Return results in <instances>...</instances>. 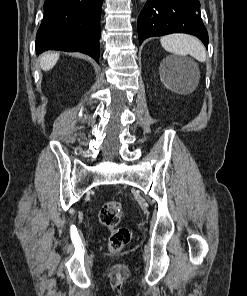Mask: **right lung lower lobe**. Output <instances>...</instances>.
Instances as JSON below:
<instances>
[{
  "mask_svg": "<svg viewBox=\"0 0 247 296\" xmlns=\"http://www.w3.org/2000/svg\"><path fill=\"white\" fill-rule=\"evenodd\" d=\"M102 0H45L35 48L82 52L98 62Z\"/></svg>",
  "mask_w": 247,
  "mask_h": 296,
  "instance_id": "right-lung-lower-lobe-1",
  "label": "right lung lower lobe"
}]
</instances>
